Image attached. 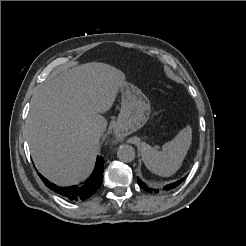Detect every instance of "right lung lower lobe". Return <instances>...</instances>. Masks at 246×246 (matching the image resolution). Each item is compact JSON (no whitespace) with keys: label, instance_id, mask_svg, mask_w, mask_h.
I'll use <instances>...</instances> for the list:
<instances>
[{"label":"right lung lower lobe","instance_id":"obj_1","mask_svg":"<svg viewBox=\"0 0 246 246\" xmlns=\"http://www.w3.org/2000/svg\"><path fill=\"white\" fill-rule=\"evenodd\" d=\"M104 172V159L97 157L92 175L81 186L60 187L40 175L44 184L55 193L70 201H83L91 197L101 186Z\"/></svg>","mask_w":246,"mask_h":246}]
</instances>
